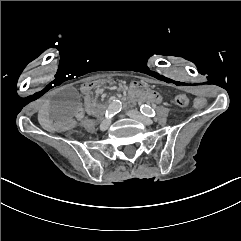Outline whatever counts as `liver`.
I'll return each mask as SVG.
<instances>
[{"label": "liver", "mask_w": 241, "mask_h": 241, "mask_svg": "<svg viewBox=\"0 0 241 241\" xmlns=\"http://www.w3.org/2000/svg\"><path fill=\"white\" fill-rule=\"evenodd\" d=\"M41 125L43 126L44 129L52 131V128L49 125L43 124V123H41Z\"/></svg>", "instance_id": "1"}]
</instances>
